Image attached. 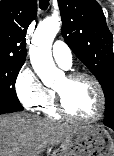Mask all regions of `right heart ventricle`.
I'll return each mask as SVG.
<instances>
[{"instance_id": "obj_1", "label": "right heart ventricle", "mask_w": 114, "mask_h": 156, "mask_svg": "<svg viewBox=\"0 0 114 156\" xmlns=\"http://www.w3.org/2000/svg\"><path fill=\"white\" fill-rule=\"evenodd\" d=\"M40 110L47 116L53 118L60 117L59 113L56 110L55 93L52 90H50L49 100L40 108Z\"/></svg>"}]
</instances>
